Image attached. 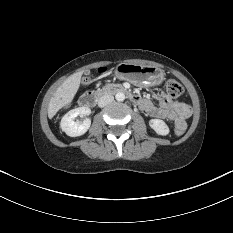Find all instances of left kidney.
Listing matches in <instances>:
<instances>
[{"instance_id":"5707ae66","label":"left kidney","mask_w":233,"mask_h":233,"mask_svg":"<svg viewBox=\"0 0 233 233\" xmlns=\"http://www.w3.org/2000/svg\"><path fill=\"white\" fill-rule=\"evenodd\" d=\"M149 125L158 135L166 136L170 132L167 124L161 119H151Z\"/></svg>"}]
</instances>
